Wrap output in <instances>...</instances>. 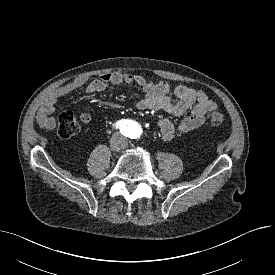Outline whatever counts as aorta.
Here are the masks:
<instances>
[{
  "instance_id": "762f6f07",
  "label": "aorta",
  "mask_w": 275,
  "mask_h": 275,
  "mask_svg": "<svg viewBox=\"0 0 275 275\" xmlns=\"http://www.w3.org/2000/svg\"><path fill=\"white\" fill-rule=\"evenodd\" d=\"M139 125L135 124L134 126L130 127V131L132 133L133 136H137L138 132H139Z\"/></svg>"
}]
</instances>
